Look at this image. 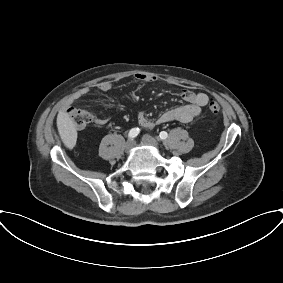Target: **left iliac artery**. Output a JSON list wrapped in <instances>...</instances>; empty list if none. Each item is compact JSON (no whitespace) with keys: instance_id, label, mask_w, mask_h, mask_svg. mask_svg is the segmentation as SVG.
<instances>
[{"instance_id":"1","label":"left iliac artery","mask_w":283,"mask_h":283,"mask_svg":"<svg viewBox=\"0 0 283 283\" xmlns=\"http://www.w3.org/2000/svg\"><path fill=\"white\" fill-rule=\"evenodd\" d=\"M168 137V134L166 131H161L160 134H159V138L161 140H165L166 138Z\"/></svg>"}]
</instances>
